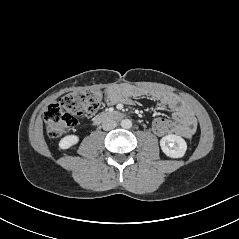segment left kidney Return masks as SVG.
Masks as SVG:
<instances>
[{
  "label": "left kidney",
  "instance_id": "5707ae66",
  "mask_svg": "<svg viewBox=\"0 0 239 239\" xmlns=\"http://www.w3.org/2000/svg\"><path fill=\"white\" fill-rule=\"evenodd\" d=\"M160 146L162 151L171 158L183 157L187 150V144L185 140L182 137L174 134L164 136L160 140Z\"/></svg>",
  "mask_w": 239,
  "mask_h": 239
}]
</instances>
